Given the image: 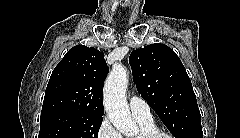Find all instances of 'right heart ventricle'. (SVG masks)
I'll use <instances>...</instances> for the list:
<instances>
[{"mask_svg":"<svg viewBox=\"0 0 240 138\" xmlns=\"http://www.w3.org/2000/svg\"><path fill=\"white\" fill-rule=\"evenodd\" d=\"M135 119L140 127V131L156 128L153 118L144 119V118L135 117Z\"/></svg>","mask_w":240,"mask_h":138,"instance_id":"obj_1","label":"right heart ventricle"}]
</instances>
